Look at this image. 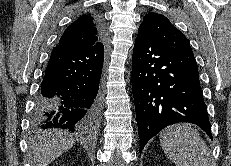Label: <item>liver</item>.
Masks as SVG:
<instances>
[{"label":"liver","mask_w":231,"mask_h":166,"mask_svg":"<svg viewBox=\"0 0 231 166\" xmlns=\"http://www.w3.org/2000/svg\"><path fill=\"white\" fill-rule=\"evenodd\" d=\"M75 140L61 130H49L29 139L34 166H48L52 161L68 151Z\"/></svg>","instance_id":"liver-1"}]
</instances>
